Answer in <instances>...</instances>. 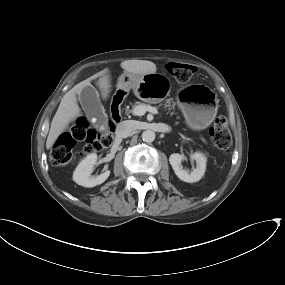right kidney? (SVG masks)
<instances>
[{
    "mask_svg": "<svg viewBox=\"0 0 285 285\" xmlns=\"http://www.w3.org/2000/svg\"><path fill=\"white\" fill-rule=\"evenodd\" d=\"M97 161V154L91 153L85 157L76 167L73 173V180L84 187H95L102 184L110 175L109 170H105L98 176H92L93 167Z\"/></svg>",
    "mask_w": 285,
    "mask_h": 285,
    "instance_id": "1",
    "label": "right kidney"
}]
</instances>
